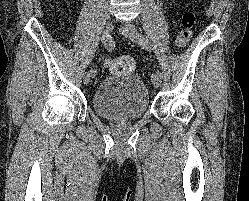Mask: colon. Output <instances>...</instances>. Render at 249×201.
I'll return each mask as SVG.
<instances>
[{
    "instance_id": "colon-1",
    "label": "colon",
    "mask_w": 249,
    "mask_h": 201,
    "mask_svg": "<svg viewBox=\"0 0 249 201\" xmlns=\"http://www.w3.org/2000/svg\"><path fill=\"white\" fill-rule=\"evenodd\" d=\"M196 24V15L191 8H187L181 16L182 29L176 37L175 46L182 49L189 43ZM108 68L118 75H129L134 71L135 62L129 56H117L108 62Z\"/></svg>"
}]
</instances>
